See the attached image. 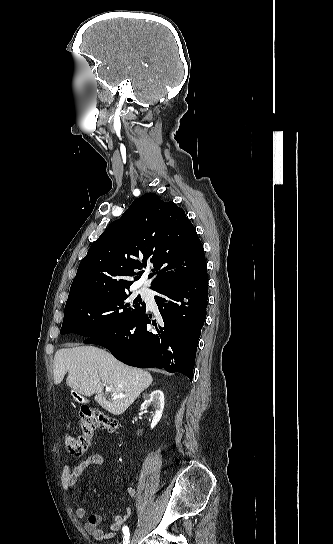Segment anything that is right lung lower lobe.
Listing matches in <instances>:
<instances>
[{"label": "right lung lower lobe", "mask_w": 333, "mask_h": 544, "mask_svg": "<svg viewBox=\"0 0 333 544\" xmlns=\"http://www.w3.org/2000/svg\"><path fill=\"white\" fill-rule=\"evenodd\" d=\"M160 311L152 319L146 310L128 325L84 341L103 346L123 363L181 372L192 379L195 354L206 317L207 267L194 276L154 289Z\"/></svg>", "instance_id": "98d812e1"}]
</instances>
